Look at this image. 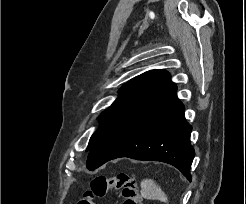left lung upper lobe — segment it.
<instances>
[{
  "instance_id": "left-lung-upper-lobe-1",
  "label": "left lung upper lobe",
  "mask_w": 246,
  "mask_h": 204,
  "mask_svg": "<svg viewBox=\"0 0 246 204\" xmlns=\"http://www.w3.org/2000/svg\"><path fill=\"white\" fill-rule=\"evenodd\" d=\"M169 83L171 80L167 71L150 70L124 84L119 90V97L99 116L100 127L90 138L86 151L115 121Z\"/></svg>"
}]
</instances>
